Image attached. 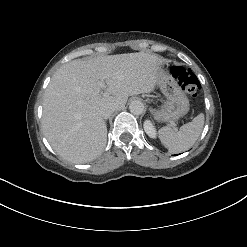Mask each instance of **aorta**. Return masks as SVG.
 Here are the masks:
<instances>
[{"label":"aorta","mask_w":247,"mask_h":247,"mask_svg":"<svg viewBox=\"0 0 247 247\" xmlns=\"http://www.w3.org/2000/svg\"><path fill=\"white\" fill-rule=\"evenodd\" d=\"M129 110L134 115H140L144 111V104L140 100H134L130 103Z\"/></svg>","instance_id":"obj_1"}]
</instances>
